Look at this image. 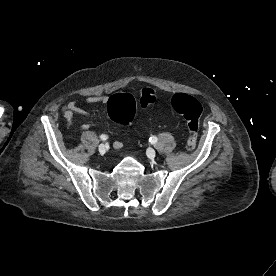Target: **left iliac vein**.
<instances>
[{"instance_id":"left-iliac-vein-1","label":"left iliac vein","mask_w":276,"mask_h":276,"mask_svg":"<svg viewBox=\"0 0 276 276\" xmlns=\"http://www.w3.org/2000/svg\"><path fill=\"white\" fill-rule=\"evenodd\" d=\"M147 156L151 159L155 158L156 151L153 148H148L147 149Z\"/></svg>"}]
</instances>
